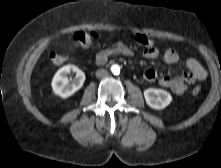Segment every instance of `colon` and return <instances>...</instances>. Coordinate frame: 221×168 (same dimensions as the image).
<instances>
[{
  "label": "colon",
  "mask_w": 221,
  "mask_h": 168,
  "mask_svg": "<svg viewBox=\"0 0 221 168\" xmlns=\"http://www.w3.org/2000/svg\"><path fill=\"white\" fill-rule=\"evenodd\" d=\"M100 37V34L96 32H77L73 36V42L76 46L85 47L93 42L98 41ZM135 41L145 48L154 46V42L144 34H136ZM49 59L53 64L60 65L67 60V57L59 53L52 52L49 54ZM200 91L201 88L196 86L193 88L192 93L193 95H198Z\"/></svg>",
  "instance_id": "1"
}]
</instances>
